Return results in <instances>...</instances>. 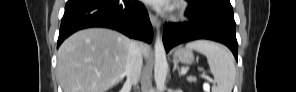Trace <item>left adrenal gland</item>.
I'll return each instance as SVG.
<instances>
[{
  "label": "left adrenal gland",
  "mask_w": 296,
  "mask_h": 92,
  "mask_svg": "<svg viewBox=\"0 0 296 92\" xmlns=\"http://www.w3.org/2000/svg\"><path fill=\"white\" fill-rule=\"evenodd\" d=\"M176 69L178 70V74H179V76H181L182 73H181V71H180V67L178 66V63L175 61V62H174V67H173V71H175Z\"/></svg>",
  "instance_id": "obj_1"
}]
</instances>
